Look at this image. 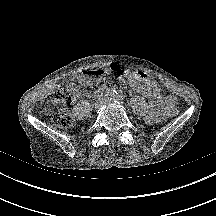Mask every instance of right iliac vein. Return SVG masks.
<instances>
[{
	"mask_svg": "<svg viewBox=\"0 0 216 216\" xmlns=\"http://www.w3.org/2000/svg\"><path fill=\"white\" fill-rule=\"evenodd\" d=\"M103 104H104V100L103 99L97 100L96 103H95V109L101 108Z\"/></svg>",
	"mask_w": 216,
	"mask_h": 216,
	"instance_id": "obj_1",
	"label": "right iliac vein"
}]
</instances>
